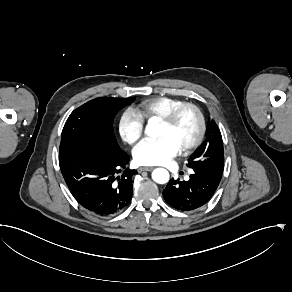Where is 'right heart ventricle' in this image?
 I'll list each match as a JSON object with an SVG mask.
<instances>
[{
  "mask_svg": "<svg viewBox=\"0 0 292 292\" xmlns=\"http://www.w3.org/2000/svg\"><path fill=\"white\" fill-rule=\"evenodd\" d=\"M181 103L184 101L178 97L159 95L142 100L137 111L144 120L150 121L153 118L160 119L161 116Z\"/></svg>",
  "mask_w": 292,
  "mask_h": 292,
  "instance_id": "1",
  "label": "right heart ventricle"
}]
</instances>
